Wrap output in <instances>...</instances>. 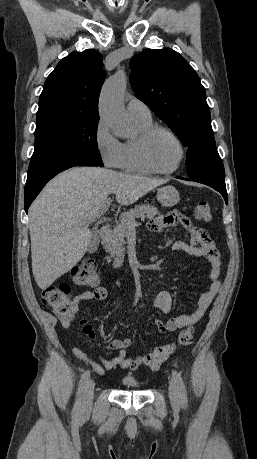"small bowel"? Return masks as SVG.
Masks as SVG:
<instances>
[{"label": "small bowel", "mask_w": 257, "mask_h": 459, "mask_svg": "<svg viewBox=\"0 0 257 459\" xmlns=\"http://www.w3.org/2000/svg\"><path fill=\"white\" fill-rule=\"evenodd\" d=\"M163 218V219H162ZM148 228L150 231L161 229H175L181 225L191 235L192 243L176 241L172 245L175 252H181L190 256L200 257L206 260L209 265V285L197 302L192 311L188 314L170 318L165 323L161 320L155 321V327L160 332H173L184 327L197 323L211 304L212 300L221 288L220 279V260L219 252L210 240L209 236L194 227L189 219L182 214L181 208H164L163 217H149ZM107 297V290L102 286H97L93 290L84 291L74 297L76 305L83 301H103ZM150 305L159 309L162 313L168 314L172 307V296L166 290L157 292L150 300ZM74 312L70 318H62L61 325L64 329H70L75 319ZM82 331L90 338H95V333L87 319H81ZM132 344L131 338L113 339L107 344V349L117 350L118 354L112 359L100 357L97 361L92 360L82 350V342L77 341V345L72 348L73 355L79 360L89 364L99 375H104L108 370L116 367L135 370L144 364L146 356L131 357L127 355L126 349Z\"/></svg>", "instance_id": "c3829d8e"}]
</instances>
